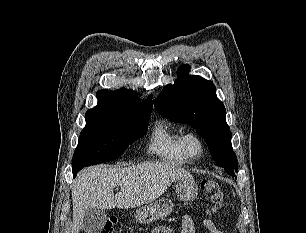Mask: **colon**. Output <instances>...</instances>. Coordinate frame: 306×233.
<instances>
[{
    "label": "colon",
    "instance_id": "1",
    "mask_svg": "<svg viewBox=\"0 0 306 233\" xmlns=\"http://www.w3.org/2000/svg\"><path fill=\"white\" fill-rule=\"evenodd\" d=\"M201 189L206 198L211 203V211H216L221 208L223 203V192L219 184L211 179H206L201 182ZM117 219L111 217L106 220L102 228L97 233H115ZM161 230H154L152 233H160Z\"/></svg>",
    "mask_w": 306,
    "mask_h": 233
}]
</instances>
